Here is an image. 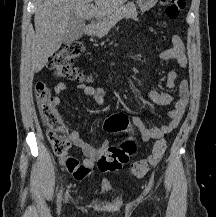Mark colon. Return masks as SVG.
Segmentation results:
<instances>
[{
	"instance_id": "5ec220e1",
	"label": "colon",
	"mask_w": 216,
	"mask_h": 217,
	"mask_svg": "<svg viewBox=\"0 0 216 217\" xmlns=\"http://www.w3.org/2000/svg\"><path fill=\"white\" fill-rule=\"evenodd\" d=\"M165 7V14L169 19L179 16L185 5V0H160ZM82 45L72 42L56 52L50 59L49 68L58 78L83 81L85 76L73 66L75 59L81 54ZM35 98L39 107L43 124L48 128L47 137L54 153L63 160L66 169L75 176H80L82 170L78 161L69 156L70 140L66 133L65 124L55 108L54 97L44 82L35 86ZM130 127L128 116L123 112L110 115L104 122V129L113 133ZM167 148L165 139L160 138L154 143L150 155L145 160L134 162L129 172L136 177L144 176L150 169L157 166L163 158ZM135 152L133 144H121L107 147L98 159V169L102 172H114L125 166L129 157Z\"/></svg>"
}]
</instances>
